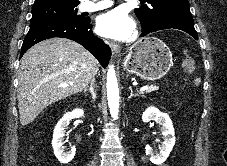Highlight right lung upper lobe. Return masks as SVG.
<instances>
[{
	"mask_svg": "<svg viewBox=\"0 0 227 166\" xmlns=\"http://www.w3.org/2000/svg\"><path fill=\"white\" fill-rule=\"evenodd\" d=\"M45 3H69L79 4V0H35L33 5L45 4Z\"/></svg>",
	"mask_w": 227,
	"mask_h": 166,
	"instance_id": "obj_1",
	"label": "right lung upper lobe"
}]
</instances>
